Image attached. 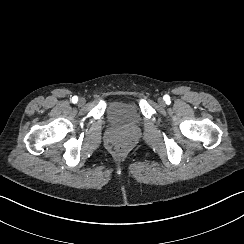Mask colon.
<instances>
[{"mask_svg": "<svg viewBox=\"0 0 244 244\" xmlns=\"http://www.w3.org/2000/svg\"><path fill=\"white\" fill-rule=\"evenodd\" d=\"M115 151H116L118 154H124V153L127 151V146H126L124 143H118V144L115 146Z\"/></svg>", "mask_w": 244, "mask_h": 244, "instance_id": "1", "label": "colon"}]
</instances>
